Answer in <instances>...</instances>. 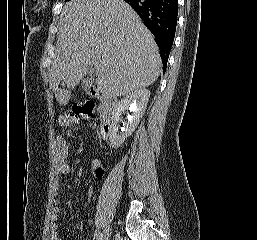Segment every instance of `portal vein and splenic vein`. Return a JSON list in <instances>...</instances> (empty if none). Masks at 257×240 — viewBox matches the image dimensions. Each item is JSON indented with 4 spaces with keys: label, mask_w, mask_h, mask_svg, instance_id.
Returning <instances> with one entry per match:
<instances>
[{
    "label": "portal vein and splenic vein",
    "mask_w": 257,
    "mask_h": 240,
    "mask_svg": "<svg viewBox=\"0 0 257 240\" xmlns=\"http://www.w3.org/2000/svg\"><path fill=\"white\" fill-rule=\"evenodd\" d=\"M93 68L95 69V71L98 73L100 71V65L99 63H93Z\"/></svg>",
    "instance_id": "18ae733b"
}]
</instances>
